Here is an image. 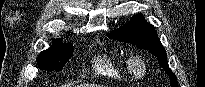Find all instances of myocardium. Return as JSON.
<instances>
[{
    "mask_svg": "<svg viewBox=\"0 0 205 87\" xmlns=\"http://www.w3.org/2000/svg\"><path fill=\"white\" fill-rule=\"evenodd\" d=\"M128 65L131 72L137 77H142L147 71L146 61L139 55H132L128 59Z\"/></svg>",
    "mask_w": 205,
    "mask_h": 87,
    "instance_id": "myocardium-1",
    "label": "myocardium"
}]
</instances>
